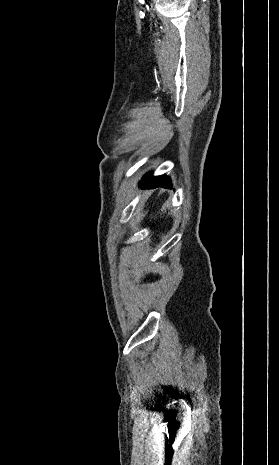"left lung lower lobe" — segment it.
I'll return each instance as SVG.
<instances>
[{"mask_svg":"<svg viewBox=\"0 0 279 465\" xmlns=\"http://www.w3.org/2000/svg\"><path fill=\"white\" fill-rule=\"evenodd\" d=\"M139 184L140 188L172 187L170 179L168 177L164 175L152 177V173H147L139 182Z\"/></svg>","mask_w":279,"mask_h":465,"instance_id":"1","label":"left lung lower lobe"}]
</instances>
